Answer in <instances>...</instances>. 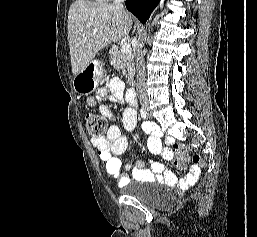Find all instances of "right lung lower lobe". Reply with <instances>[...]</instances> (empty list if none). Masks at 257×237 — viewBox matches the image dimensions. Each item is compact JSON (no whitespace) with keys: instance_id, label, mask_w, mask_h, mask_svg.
I'll return each instance as SVG.
<instances>
[{"instance_id":"obj_1","label":"right lung lower lobe","mask_w":257,"mask_h":237,"mask_svg":"<svg viewBox=\"0 0 257 237\" xmlns=\"http://www.w3.org/2000/svg\"><path fill=\"white\" fill-rule=\"evenodd\" d=\"M159 0H126V8L142 23L149 18Z\"/></svg>"}]
</instances>
